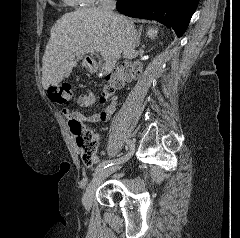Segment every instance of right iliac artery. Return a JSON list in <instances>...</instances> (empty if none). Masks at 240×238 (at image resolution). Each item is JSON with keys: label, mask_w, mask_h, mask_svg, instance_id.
<instances>
[{"label": "right iliac artery", "mask_w": 240, "mask_h": 238, "mask_svg": "<svg viewBox=\"0 0 240 238\" xmlns=\"http://www.w3.org/2000/svg\"><path fill=\"white\" fill-rule=\"evenodd\" d=\"M126 145L128 146L129 145V149H128V152H126L125 156L119 158V159H115V160H109V161H103L102 163H100L96 169H95V173L93 174V176L95 177L101 170L109 167V166H112L114 165L115 163H121V162H124L126 161L127 159H129V157H131V155H133L134 153V146H135V143L133 140H127L126 142Z\"/></svg>", "instance_id": "right-iliac-artery-1"}]
</instances>
